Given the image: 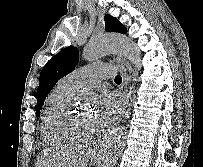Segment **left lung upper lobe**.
Returning <instances> with one entry per match:
<instances>
[{
  "instance_id": "left-lung-upper-lobe-1",
  "label": "left lung upper lobe",
  "mask_w": 203,
  "mask_h": 167,
  "mask_svg": "<svg viewBox=\"0 0 203 167\" xmlns=\"http://www.w3.org/2000/svg\"><path fill=\"white\" fill-rule=\"evenodd\" d=\"M105 30L109 32L126 33L127 29L116 18L105 15ZM78 51L74 47H67L52 57L40 73V84L37 88L36 115L40 114L46 96L55 86L57 81L72 72L78 63Z\"/></svg>"
}]
</instances>
